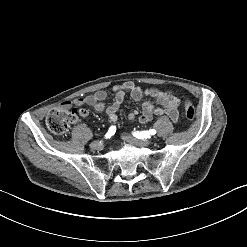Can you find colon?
<instances>
[{"label": "colon", "instance_id": "obj_1", "mask_svg": "<svg viewBox=\"0 0 247 247\" xmlns=\"http://www.w3.org/2000/svg\"><path fill=\"white\" fill-rule=\"evenodd\" d=\"M185 97L184 107L186 111V116L189 120H195L197 117V112L195 107L191 104V102L186 98L185 94H182ZM45 123L48 130L58 136H63L68 132L69 126L73 124L69 110L63 111L60 109L51 110L46 118Z\"/></svg>", "mask_w": 247, "mask_h": 247}]
</instances>
